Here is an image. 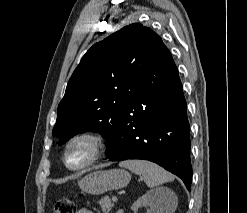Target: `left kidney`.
Segmentation results:
<instances>
[{
  "instance_id": "1",
  "label": "left kidney",
  "mask_w": 247,
  "mask_h": 213,
  "mask_svg": "<svg viewBox=\"0 0 247 213\" xmlns=\"http://www.w3.org/2000/svg\"><path fill=\"white\" fill-rule=\"evenodd\" d=\"M164 195L165 194H163L160 189L147 192L133 203L131 209L134 211V213H137L140 207L147 206L150 208L152 213H163L161 206L164 202Z\"/></svg>"
}]
</instances>
